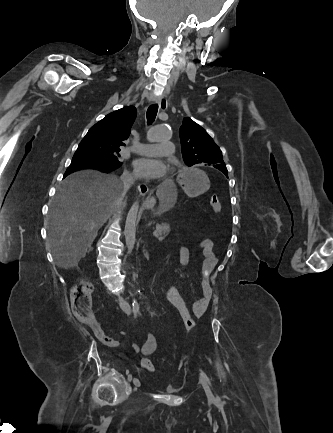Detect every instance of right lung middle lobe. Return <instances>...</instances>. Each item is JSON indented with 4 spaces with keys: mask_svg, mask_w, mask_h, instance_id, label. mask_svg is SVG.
<instances>
[{
    "mask_svg": "<svg viewBox=\"0 0 333 433\" xmlns=\"http://www.w3.org/2000/svg\"><path fill=\"white\" fill-rule=\"evenodd\" d=\"M120 149L118 148H100L93 145L91 142L82 140L77 151L75 152L74 161H97L113 166H121Z\"/></svg>",
    "mask_w": 333,
    "mask_h": 433,
    "instance_id": "dd1d6c3e",
    "label": "right lung middle lobe"
}]
</instances>
